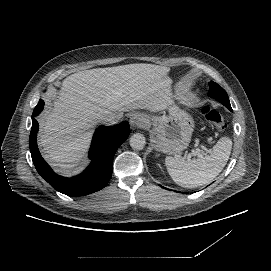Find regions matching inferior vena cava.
Wrapping results in <instances>:
<instances>
[{
	"mask_svg": "<svg viewBox=\"0 0 271 271\" xmlns=\"http://www.w3.org/2000/svg\"><path fill=\"white\" fill-rule=\"evenodd\" d=\"M119 119H120V117L118 115L112 114V113H105V114L97 117V120L105 125L117 124Z\"/></svg>",
	"mask_w": 271,
	"mask_h": 271,
	"instance_id": "obj_1",
	"label": "inferior vena cava"
}]
</instances>
